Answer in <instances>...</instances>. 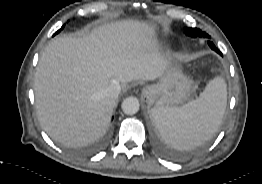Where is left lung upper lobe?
Returning a JSON list of instances; mask_svg holds the SVG:
<instances>
[{"label":"left lung upper lobe","mask_w":262,"mask_h":184,"mask_svg":"<svg viewBox=\"0 0 262 184\" xmlns=\"http://www.w3.org/2000/svg\"><path fill=\"white\" fill-rule=\"evenodd\" d=\"M184 30H185V33L191 37H202L203 36L205 38H210L208 34L196 28H185Z\"/></svg>","instance_id":"5c2ea615"}]
</instances>
